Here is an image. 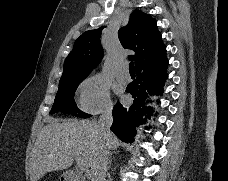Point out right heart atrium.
<instances>
[{"label": "right heart atrium", "instance_id": "1", "mask_svg": "<svg viewBox=\"0 0 228 181\" xmlns=\"http://www.w3.org/2000/svg\"><path fill=\"white\" fill-rule=\"evenodd\" d=\"M81 107L90 113H100L110 109L109 87L99 78L87 80L81 95Z\"/></svg>", "mask_w": 228, "mask_h": 181}]
</instances>
